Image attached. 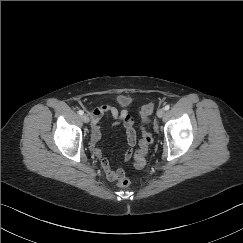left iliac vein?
Masks as SVG:
<instances>
[{
    "instance_id": "1",
    "label": "left iliac vein",
    "mask_w": 243,
    "mask_h": 243,
    "mask_svg": "<svg viewBox=\"0 0 243 243\" xmlns=\"http://www.w3.org/2000/svg\"><path fill=\"white\" fill-rule=\"evenodd\" d=\"M165 115V110L163 108L158 109L157 116L159 118H162ZM155 129L157 130V126H155Z\"/></svg>"
}]
</instances>
